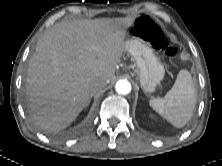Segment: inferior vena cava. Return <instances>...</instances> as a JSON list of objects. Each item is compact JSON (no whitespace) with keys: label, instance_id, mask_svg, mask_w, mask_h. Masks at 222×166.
I'll return each instance as SVG.
<instances>
[{"label":"inferior vena cava","instance_id":"1","mask_svg":"<svg viewBox=\"0 0 222 166\" xmlns=\"http://www.w3.org/2000/svg\"><path fill=\"white\" fill-rule=\"evenodd\" d=\"M106 84H107V81L104 79L96 80L92 85L93 93L102 91L105 88Z\"/></svg>","mask_w":222,"mask_h":166}]
</instances>
